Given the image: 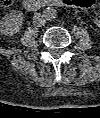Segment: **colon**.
I'll list each match as a JSON object with an SVG mask.
<instances>
[{
    "mask_svg": "<svg viewBox=\"0 0 100 118\" xmlns=\"http://www.w3.org/2000/svg\"><path fill=\"white\" fill-rule=\"evenodd\" d=\"M70 4H75L76 0H67ZM82 6L85 8L92 7L95 3V0H81ZM13 0H0L2 7L7 8L12 4Z\"/></svg>",
    "mask_w": 100,
    "mask_h": 118,
    "instance_id": "1",
    "label": "colon"
}]
</instances>
